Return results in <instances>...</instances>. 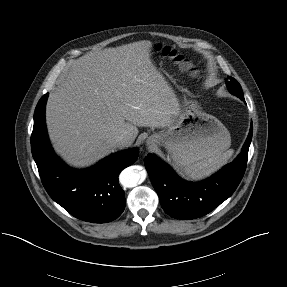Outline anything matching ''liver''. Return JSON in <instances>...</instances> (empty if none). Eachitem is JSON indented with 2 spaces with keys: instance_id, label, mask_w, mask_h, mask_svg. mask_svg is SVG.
I'll return each mask as SVG.
<instances>
[{
  "instance_id": "obj_1",
  "label": "liver",
  "mask_w": 287,
  "mask_h": 287,
  "mask_svg": "<svg viewBox=\"0 0 287 287\" xmlns=\"http://www.w3.org/2000/svg\"><path fill=\"white\" fill-rule=\"evenodd\" d=\"M152 43L138 41L72 61L46 105L56 152L70 165H92L115 150L118 135L131 145L137 127L164 128L180 114L172 87L150 59ZM125 147V146H124Z\"/></svg>"
}]
</instances>
